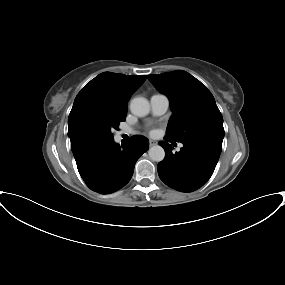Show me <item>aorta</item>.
<instances>
[{
  "instance_id": "1",
  "label": "aorta",
  "mask_w": 285,
  "mask_h": 285,
  "mask_svg": "<svg viewBox=\"0 0 285 285\" xmlns=\"http://www.w3.org/2000/svg\"><path fill=\"white\" fill-rule=\"evenodd\" d=\"M130 110L134 115L144 117L150 111L149 101L144 97H136L130 102ZM148 155L152 161L160 162L165 157V151L161 146L156 145L149 149Z\"/></svg>"
}]
</instances>
